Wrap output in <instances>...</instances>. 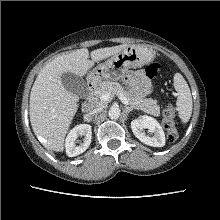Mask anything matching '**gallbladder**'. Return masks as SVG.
Wrapping results in <instances>:
<instances>
[{
    "label": "gallbladder",
    "instance_id": "1",
    "mask_svg": "<svg viewBox=\"0 0 220 220\" xmlns=\"http://www.w3.org/2000/svg\"><path fill=\"white\" fill-rule=\"evenodd\" d=\"M62 84L71 93L84 98L88 93V87L84 79L73 73H65L62 75Z\"/></svg>",
    "mask_w": 220,
    "mask_h": 220
}]
</instances>
